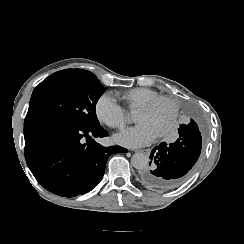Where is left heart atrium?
Masks as SVG:
<instances>
[{
    "label": "left heart atrium",
    "mask_w": 244,
    "mask_h": 244,
    "mask_svg": "<svg viewBox=\"0 0 244 244\" xmlns=\"http://www.w3.org/2000/svg\"><path fill=\"white\" fill-rule=\"evenodd\" d=\"M157 136L150 127L145 124H139L135 128L116 135L114 140L126 147H139L152 142Z\"/></svg>",
    "instance_id": "39dd6f15"
}]
</instances>
